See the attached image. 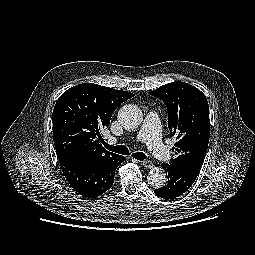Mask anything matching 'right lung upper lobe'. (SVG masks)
<instances>
[{
	"instance_id": "right-lung-upper-lobe-1",
	"label": "right lung upper lobe",
	"mask_w": 255,
	"mask_h": 255,
	"mask_svg": "<svg viewBox=\"0 0 255 255\" xmlns=\"http://www.w3.org/2000/svg\"><path fill=\"white\" fill-rule=\"evenodd\" d=\"M133 93L93 83L71 87L57 100L53 115V140L60 163L103 161L117 154L100 144L101 131L116 108Z\"/></svg>"
}]
</instances>
